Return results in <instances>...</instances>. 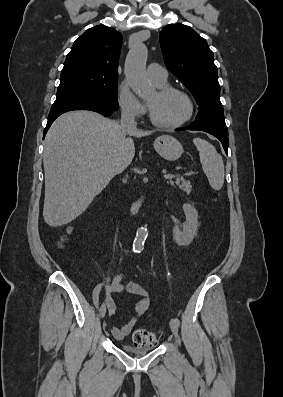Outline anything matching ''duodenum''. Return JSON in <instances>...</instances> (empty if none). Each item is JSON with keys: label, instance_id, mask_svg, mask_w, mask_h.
Instances as JSON below:
<instances>
[{"label": "duodenum", "instance_id": "1", "mask_svg": "<svg viewBox=\"0 0 283 397\" xmlns=\"http://www.w3.org/2000/svg\"><path fill=\"white\" fill-rule=\"evenodd\" d=\"M143 202H144V200H143V198H140V199H138L136 202H134V204H133V206H132V213L133 214H136L138 211H139V209L142 207V205H143Z\"/></svg>", "mask_w": 283, "mask_h": 397}]
</instances>
